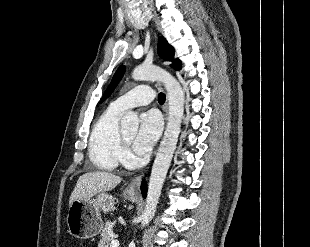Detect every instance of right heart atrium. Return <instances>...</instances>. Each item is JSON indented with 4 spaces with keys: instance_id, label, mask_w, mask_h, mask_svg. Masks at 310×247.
Masks as SVG:
<instances>
[{
    "instance_id": "obj_1",
    "label": "right heart atrium",
    "mask_w": 310,
    "mask_h": 247,
    "mask_svg": "<svg viewBox=\"0 0 310 247\" xmlns=\"http://www.w3.org/2000/svg\"><path fill=\"white\" fill-rule=\"evenodd\" d=\"M128 157H129V153L126 151L125 154H124V159H126Z\"/></svg>"
}]
</instances>
